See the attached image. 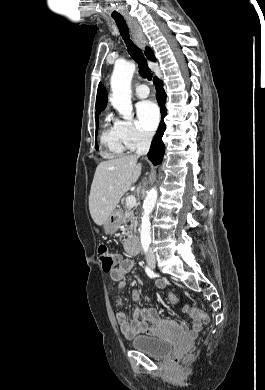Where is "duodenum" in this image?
<instances>
[{
  "instance_id": "duodenum-1",
  "label": "duodenum",
  "mask_w": 265,
  "mask_h": 390,
  "mask_svg": "<svg viewBox=\"0 0 265 390\" xmlns=\"http://www.w3.org/2000/svg\"><path fill=\"white\" fill-rule=\"evenodd\" d=\"M127 251L131 255H138L141 251V246L136 238H131L127 241Z\"/></svg>"
}]
</instances>
